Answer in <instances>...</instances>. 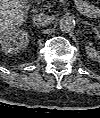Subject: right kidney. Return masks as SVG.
Returning a JSON list of instances; mask_svg holds the SVG:
<instances>
[{"instance_id": "obj_1", "label": "right kidney", "mask_w": 100, "mask_h": 118, "mask_svg": "<svg viewBox=\"0 0 100 118\" xmlns=\"http://www.w3.org/2000/svg\"><path fill=\"white\" fill-rule=\"evenodd\" d=\"M29 34L23 29L12 28L1 33L0 49L5 54H16L27 48Z\"/></svg>"}]
</instances>
